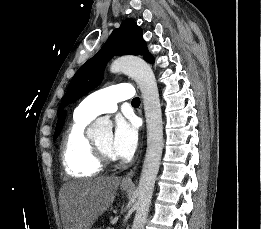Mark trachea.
<instances>
[{
	"instance_id": "trachea-1",
	"label": "trachea",
	"mask_w": 261,
	"mask_h": 229,
	"mask_svg": "<svg viewBox=\"0 0 261 229\" xmlns=\"http://www.w3.org/2000/svg\"><path fill=\"white\" fill-rule=\"evenodd\" d=\"M139 104H140L139 97H135V99L132 100V105H139Z\"/></svg>"
}]
</instances>
